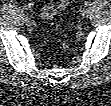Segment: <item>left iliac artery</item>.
Segmentation results:
<instances>
[{
  "label": "left iliac artery",
  "instance_id": "left-iliac-artery-1",
  "mask_svg": "<svg viewBox=\"0 0 111 106\" xmlns=\"http://www.w3.org/2000/svg\"><path fill=\"white\" fill-rule=\"evenodd\" d=\"M85 5L88 6V5H89V2H85Z\"/></svg>",
  "mask_w": 111,
  "mask_h": 106
}]
</instances>
